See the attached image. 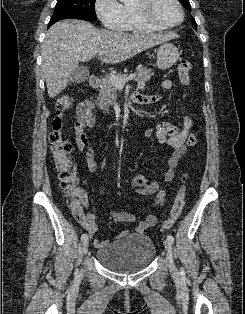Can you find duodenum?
Segmentation results:
<instances>
[{
    "instance_id": "1",
    "label": "duodenum",
    "mask_w": 245,
    "mask_h": 314,
    "mask_svg": "<svg viewBox=\"0 0 245 314\" xmlns=\"http://www.w3.org/2000/svg\"><path fill=\"white\" fill-rule=\"evenodd\" d=\"M89 84H90V86L92 88H98L101 85V78L98 75H95V74L91 75L90 78H89ZM141 98H142L141 95L136 94V95H133L131 97V100L137 102L138 99H141Z\"/></svg>"
}]
</instances>
